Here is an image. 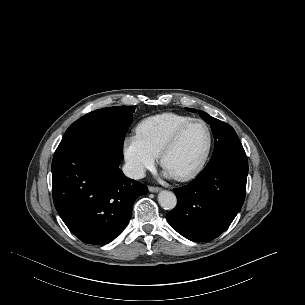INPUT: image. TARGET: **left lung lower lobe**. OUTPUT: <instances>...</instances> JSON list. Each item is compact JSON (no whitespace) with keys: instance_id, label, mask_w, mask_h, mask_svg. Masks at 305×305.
I'll return each instance as SVG.
<instances>
[{"instance_id":"left-lung-lower-lobe-1","label":"left lung lower lobe","mask_w":305,"mask_h":305,"mask_svg":"<svg viewBox=\"0 0 305 305\" xmlns=\"http://www.w3.org/2000/svg\"><path fill=\"white\" fill-rule=\"evenodd\" d=\"M248 174L245 151L209 162L186 186L174 189L177 205L166 218L185 238L207 242L223 233L241 209Z\"/></svg>"}]
</instances>
